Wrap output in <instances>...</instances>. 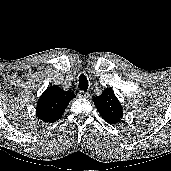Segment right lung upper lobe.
<instances>
[{"label": "right lung upper lobe", "instance_id": "cb5924a9", "mask_svg": "<svg viewBox=\"0 0 171 171\" xmlns=\"http://www.w3.org/2000/svg\"><path fill=\"white\" fill-rule=\"evenodd\" d=\"M75 94L54 85L46 89L37 102L36 114L45 122H55L63 115Z\"/></svg>", "mask_w": 171, "mask_h": 171}]
</instances>
